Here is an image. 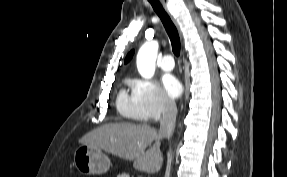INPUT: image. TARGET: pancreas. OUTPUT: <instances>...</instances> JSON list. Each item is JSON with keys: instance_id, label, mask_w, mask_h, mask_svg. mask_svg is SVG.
<instances>
[{"instance_id": "cf45deb5", "label": "pancreas", "mask_w": 287, "mask_h": 177, "mask_svg": "<svg viewBox=\"0 0 287 177\" xmlns=\"http://www.w3.org/2000/svg\"><path fill=\"white\" fill-rule=\"evenodd\" d=\"M117 177H129V175H128V174L123 173V174H119Z\"/></svg>"}]
</instances>
